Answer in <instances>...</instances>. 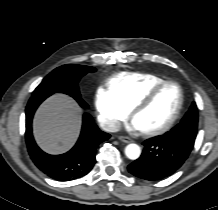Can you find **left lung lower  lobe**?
<instances>
[{"label":"left lung lower lobe","mask_w":218,"mask_h":210,"mask_svg":"<svg viewBox=\"0 0 218 210\" xmlns=\"http://www.w3.org/2000/svg\"><path fill=\"white\" fill-rule=\"evenodd\" d=\"M187 127L174 136H156L143 142L142 155L128 166V171L145 180H160L178 170L189 156L195 139Z\"/></svg>","instance_id":"0a47b994"}]
</instances>
